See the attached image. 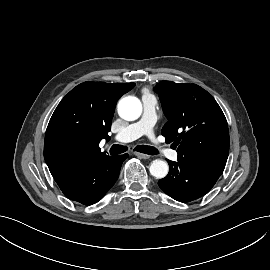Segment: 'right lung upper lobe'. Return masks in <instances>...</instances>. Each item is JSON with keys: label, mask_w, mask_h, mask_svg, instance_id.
<instances>
[{"label": "right lung upper lobe", "mask_w": 270, "mask_h": 270, "mask_svg": "<svg viewBox=\"0 0 270 270\" xmlns=\"http://www.w3.org/2000/svg\"><path fill=\"white\" fill-rule=\"evenodd\" d=\"M135 83L84 82L58 104L45 134L44 159L52 176L107 156L99 143L108 132L118 99Z\"/></svg>", "instance_id": "cb5924a9"}]
</instances>
